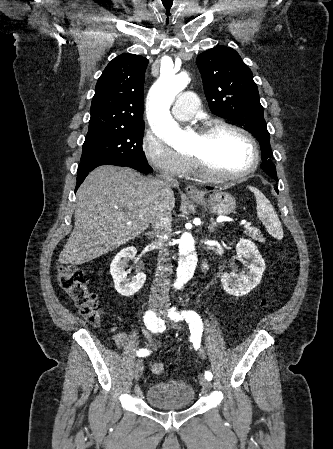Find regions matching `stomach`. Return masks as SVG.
Segmentation results:
<instances>
[{
  "mask_svg": "<svg viewBox=\"0 0 333 449\" xmlns=\"http://www.w3.org/2000/svg\"><path fill=\"white\" fill-rule=\"evenodd\" d=\"M199 204L206 206L213 214L228 215L236 208L235 198L227 192H214L205 199L192 198Z\"/></svg>",
  "mask_w": 333,
  "mask_h": 449,
  "instance_id": "1",
  "label": "stomach"
}]
</instances>
